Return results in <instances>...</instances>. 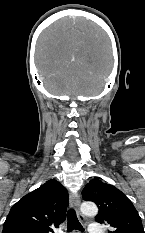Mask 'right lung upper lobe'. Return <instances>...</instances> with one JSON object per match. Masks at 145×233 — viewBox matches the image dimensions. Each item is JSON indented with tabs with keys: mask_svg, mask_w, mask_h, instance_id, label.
<instances>
[{
	"mask_svg": "<svg viewBox=\"0 0 145 233\" xmlns=\"http://www.w3.org/2000/svg\"><path fill=\"white\" fill-rule=\"evenodd\" d=\"M68 192L56 180H49L14 204L2 233H54L66 219Z\"/></svg>",
	"mask_w": 145,
	"mask_h": 233,
	"instance_id": "1",
	"label": "right lung upper lobe"
}]
</instances>
